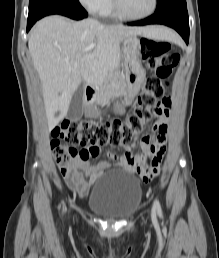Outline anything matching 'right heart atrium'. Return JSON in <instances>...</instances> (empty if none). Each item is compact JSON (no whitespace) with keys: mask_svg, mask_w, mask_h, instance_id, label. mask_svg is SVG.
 Wrapping results in <instances>:
<instances>
[{"mask_svg":"<svg viewBox=\"0 0 219 258\" xmlns=\"http://www.w3.org/2000/svg\"><path fill=\"white\" fill-rule=\"evenodd\" d=\"M81 5L90 13H100L107 0H78Z\"/></svg>","mask_w":219,"mask_h":258,"instance_id":"1","label":"right heart atrium"}]
</instances>
